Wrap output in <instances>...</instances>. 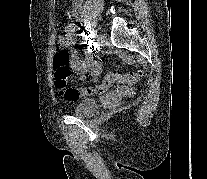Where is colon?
<instances>
[{
    "instance_id": "1",
    "label": "colon",
    "mask_w": 207,
    "mask_h": 179,
    "mask_svg": "<svg viewBox=\"0 0 207 179\" xmlns=\"http://www.w3.org/2000/svg\"><path fill=\"white\" fill-rule=\"evenodd\" d=\"M53 64L55 84L57 88L60 89L61 96L69 102L77 101L83 96L102 94L114 84H135L143 78L145 73L142 69L124 75L108 73L100 85L95 87L78 88L67 86V81L71 75L70 53L61 44L55 52Z\"/></svg>"
}]
</instances>
